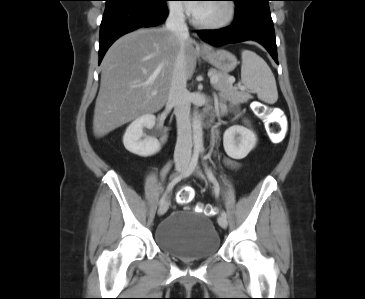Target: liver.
<instances>
[{"instance_id": "obj_1", "label": "liver", "mask_w": 365, "mask_h": 299, "mask_svg": "<svg viewBox=\"0 0 365 299\" xmlns=\"http://www.w3.org/2000/svg\"><path fill=\"white\" fill-rule=\"evenodd\" d=\"M193 43L190 37L184 42L187 79L196 67ZM179 50L177 37L163 27L138 29L122 36L109 48L101 64L93 118L95 136H105L163 108Z\"/></svg>"}]
</instances>
